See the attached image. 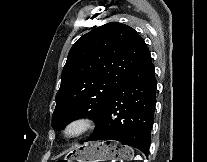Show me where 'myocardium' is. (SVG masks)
Listing matches in <instances>:
<instances>
[{"label": "myocardium", "mask_w": 207, "mask_h": 162, "mask_svg": "<svg viewBox=\"0 0 207 162\" xmlns=\"http://www.w3.org/2000/svg\"><path fill=\"white\" fill-rule=\"evenodd\" d=\"M94 125L95 121L91 116H78L65 125L63 133L67 139H76L88 133Z\"/></svg>", "instance_id": "myocardium-1"}]
</instances>
